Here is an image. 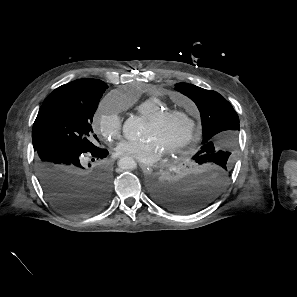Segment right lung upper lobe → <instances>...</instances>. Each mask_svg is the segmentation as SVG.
<instances>
[{
  "label": "right lung upper lobe",
  "instance_id": "cb5924a9",
  "mask_svg": "<svg viewBox=\"0 0 297 297\" xmlns=\"http://www.w3.org/2000/svg\"><path fill=\"white\" fill-rule=\"evenodd\" d=\"M102 81L92 78H85V79H78L73 82H70L68 84L62 85V87H68V86H81V87H96L101 86Z\"/></svg>",
  "mask_w": 297,
  "mask_h": 297
}]
</instances>
